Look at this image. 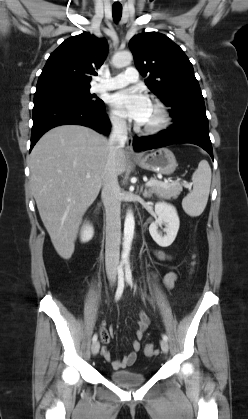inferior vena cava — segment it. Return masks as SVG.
Masks as SVG:
<instances>
[{
	"mask_svg": "<svg viewBox=\"0 0 248 419\" xmlns=\"http://www.w3.org/2000/svg\"><path fill=\"white\" fill-rule=\"evenodd\" d=\"M111 133L108 141L109 155L105 168L102 188V201L106 211L105 264L108 276L116 277L120 256L121 240V202L120 187L116 172V156L127 140L126 121L111 117Z\"/></svg>",
	"mask_w": 248,
	"mask_h": 419,
	"instance_id": "inferior-vena-cava-1",
	"label": "inferior vena cava"
}]
</instances>
